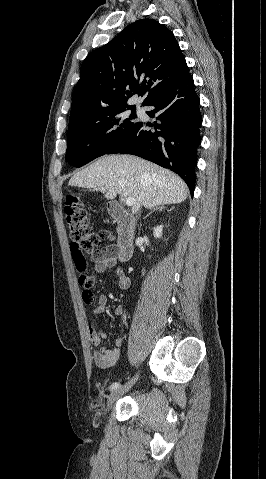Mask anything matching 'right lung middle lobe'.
Returning <instances> with one entry per match:
<instances>
[{
  "instance_id": "dd1d6c3e",
  "label": "right lung middle lobe",
  "mask_w": 266,
  "mask_h": 479,
  "mask_svg": "<svg viewBox=\"0 0 266 479\" xmlns=\"http://www.w3.org/2000/svg\"><path fill=\"white\" fill-rule=\"evenodd\" d=\"M135 118V107H122L69 121L66 161L81 167L106 154L135 126Z\"/></svg>"
}]
</instances>
